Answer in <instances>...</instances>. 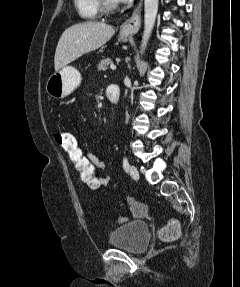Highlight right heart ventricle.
I'll return each mask as SVG.
<instances>
[{"instance_id": "obj_1", "label": "right heart ventricle", "mask_w": 240, "mask_h": 287, "mask_svg": "<svg viewBox=\"0 0 240 287\" xmlns=\"http://www.w3.org/2000/svg\"><path fill=\"white\" fill-rule=\"evenodd\" d=\"M79 16L83 19H96L101 14L98 0H74Z\"/></svg>"}]
</instances>
